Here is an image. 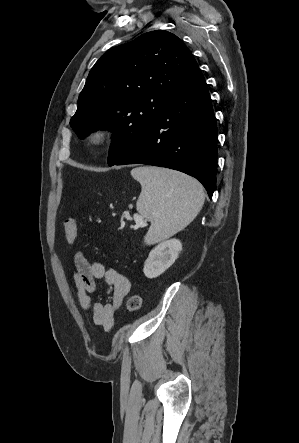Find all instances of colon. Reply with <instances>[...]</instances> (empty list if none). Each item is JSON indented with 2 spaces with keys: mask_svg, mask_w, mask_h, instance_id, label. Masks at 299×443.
I'll list each match as a JSON object with an SVG mask.
<instances>
[{
  "mask_svg": "<svg viewBox=\"0 0 299 443\" xmlns=\"http://www.w3.org/2000/svg\"><path fill=\"white\" fill-rule=\"evenodd\" d=\"M63 227L65 231L66 240L70 245H74L77 240V226L76 220L73 216H67L63 220ZM142 298L138 294L131 295L126 303L129 312H136L141 308Z\"/></svg>",
  "mask_w": 299,
  "mask_h": 443,
  "instance_id": "obj_1",
  "label": "colon"
}]
</instances>
